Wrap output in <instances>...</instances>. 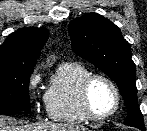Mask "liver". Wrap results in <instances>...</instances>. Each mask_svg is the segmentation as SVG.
Instances as JSON below:
<instances>
[{"instance_id":"1","label":"liver","mask_w":147,"mask_h":131,"mask_svg":"<svg viewBox=\"0 0 147 131\" xmlns=\"http://www.w3.org/2000/svg\"><path fill=\"white\" fill-rule=\"evenodd\" d=\"M84 126L62 123H36L19 127H10L6 118L0 116V131H87Z\"/></svg>"}]
</instances>
